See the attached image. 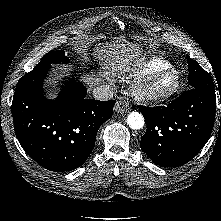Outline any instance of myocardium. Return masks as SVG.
<instances>
[{"mask_svg":"<svg viewBox=\"0 0 221 221\" xmlns=\"http://www.w3.org/2000/svg\"><path fill=\"white\" fill-rule=\"evenodd\" d=\"M171 75L174 77V82L167 88H160L157 82L163 76ZM182 76L175 68H167L158 70L144 75L132 87V95L135 99L141 102L158 103L170 99L181 88Z\"/></svg>","mask_w":221,"mask_h":221,"instance_id":"f54148a6","label":"myocardium"}]
</instances>
